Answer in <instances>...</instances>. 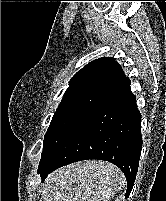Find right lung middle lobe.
<instances>
[{"label":"right lung middle lobe","instance_id":"dd1d6c3e","mask_svg":"<svg viewBox=\"0 0 166 201\" xmlns=\"http://www.w3.org/2000/svg\"><path fill=\"white\" fill-rule=\"evenodd\" d=\"M104 99L103 96H88L59 104L44 138L39 169L47 164L60 145L95 111Z\"/></svg>","mask_w":166,"mask_h":201}]
</instances>
